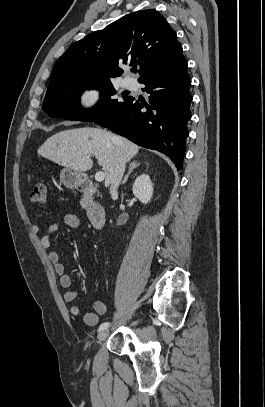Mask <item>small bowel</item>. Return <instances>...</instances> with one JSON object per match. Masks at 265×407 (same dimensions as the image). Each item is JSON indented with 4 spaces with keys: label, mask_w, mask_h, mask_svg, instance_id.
<instances>
[{
    "label": "small bowel",
    "mask_w": 265,
    "mask_h": 407,
    "mask_svg": "<svg viewBox=\"0 0 265 407\" xmlns=\"http://www.w3.org/2000/svg\"><path fill=\"white\" fill-rule=\"evenodd\" d=\"M62 226H69L75 229L81 227L79 218L73 214H66L61 221H56L49 224L40 237V244L44 250L48 252V258L53 264L55 272L59 276L60 285L66 289L64 294V301L70 303V313L72 316H80L82 314V308L75 301L79 297L80 292L72 288V278L66 272L65 265L60 260L58 252L51 249V235L57 232ZM32 231L35 234H39L42 231V227L39 223H33L31 226ZM108 306L103 301H96L94 303V312H89L84 315V322L88 326H95L98 323L99 316L107 313Z\"/></svg>",
    "instance_id": "small-bowel-1"
}]
</instances>
